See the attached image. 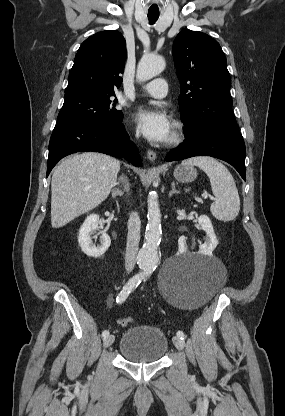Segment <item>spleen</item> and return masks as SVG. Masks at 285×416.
Returning <instances> with one entry per match:
<instances>
[{"mask_svg":"<svg viewBox=\"0 0 285 416\" xmlns=\"http://www.w3.org/2000/svg\"><path fill=\"white\" fill-rule=\"evenodd\" d=\"M182 166H197L209 178L211 190L216 198L210 206V212L216 220L231 222L235 220L240 210V198L234 178L227 168L209 156H198L184 160Z\"/></svg>","mask_w":285,"mask_h":416,"instance_id":"1","label":"spleen"}]
</instances>
